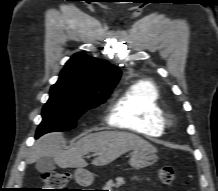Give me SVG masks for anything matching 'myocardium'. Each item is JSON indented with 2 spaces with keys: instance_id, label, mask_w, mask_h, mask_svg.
Returning <instances> with one entry per match:
<instances>
[{
  "instance_id": "myocardium-1",
  "label": "myocardium",
  "mask_w": 218,
  "mask_h": 191,
  "mask_svg": "<svg viewBox=\"0 0 218 191\" xmlns=\"http://www.w3.org/2000/svg\"><path fill=\"white\" fill-rule=\"evenodd\" d=\"M164 123L167 126H172L175 123V117L172 114H165L164 116Z\"/></svg>"
}]
</instances>
